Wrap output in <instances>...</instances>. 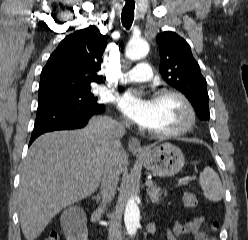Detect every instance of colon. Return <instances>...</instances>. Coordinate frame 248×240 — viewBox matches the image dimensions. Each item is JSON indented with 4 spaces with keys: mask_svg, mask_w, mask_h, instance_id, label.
Listing matches in <instances>:
<instances>
[{
    "mask_svg": "<svg viewBox=\"0 0 248 240\" xmlns=\"http://www.w3.org/2000/svg\"><path fill=\"white\" fill-rule=\"evenodd\" d=\"M183 202L189 208H195L198 204L197 197L192 192H185L184 193ZM216 229H217V223H213L210 226V230L215 231ZM45 240H60V239L56 233H52ZM205 240H215V239H214V237H205Z\"/></svg>",
    "mask_w": 248,
    "mask_h": 240,
    "instance_id": "1",
    "label": "colon"
}]
</instances>
